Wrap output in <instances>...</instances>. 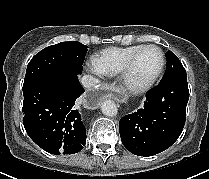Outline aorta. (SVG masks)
<instances>
[{
  "mask_svg": "<svg viewBox=\"0 0 209 179\" xmlns=\"http://www.w3.org/2000/svg\"><path fill=\"white\" fill-rule=\"evenodd\" d=\"M102 113L106 116L113 117L117 115L116 104L112 100H105L101 105Z\"/></svg>",
  "mask_w": 209,
  "mask_h": 179,
  "instance_id": "762f6f07",
  "label": "aorta"
}]
</instances>
